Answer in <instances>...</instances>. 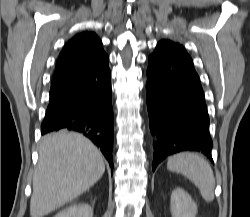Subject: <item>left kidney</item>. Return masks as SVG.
<instances>
[{"label": "left kidney", "mask_w": 250, "mask_h": 217, "mask_svg": "<svg viewBox=\"0 0 250 217\" xmlns=\"http://www.w3.org/2000/svg\"><path fill=\"white\" fill-rule=\"evenodd\" d=\"M170 211L172 217H195L197 205L182 188H176L171 194Z\"/></svg>", "instance_id": "left-kidney-1"}]
</instances>
